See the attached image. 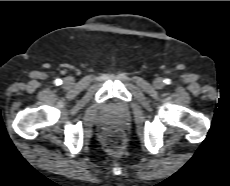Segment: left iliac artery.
<instances>
[{"instance_id": "left-iliac-artery-1", "label": "left iliac artery", "mask_w": 230, "mask_h": 186, "mask_svg": "<svg viewBox=\"0 0 230 186\" xmlns=\"http://www.w3.org/2000/svg\"><path fill=\"white\" fill-rule=\"evenodd\" d=\"M164 83L167 84V85H169V84H171V80L170 79H165Z\"/></svg>"}]
</instances>
